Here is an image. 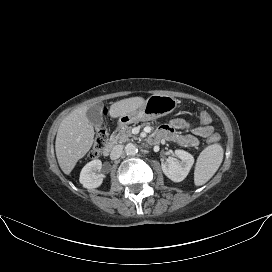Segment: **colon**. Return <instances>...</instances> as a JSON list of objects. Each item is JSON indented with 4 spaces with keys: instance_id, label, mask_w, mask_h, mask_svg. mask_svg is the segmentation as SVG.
<instances>
[{
    "instance_id": "colon-1",
    "label": "colon",
    "mask_w": 272,
    "mask_h": 272,
    "mask_svg": "<svg viewBox=\"0 0 272 272\" xmlns=\"http://www.w3.org/2000/svg\"><path fill=\"white\" fill-rule=\"evenodd\" d=\"M199 120L203 125H209V123L211 122L210 115L206 112H201L199 114ZM107 140H108V132L104 126H100L96 130L95 141H94V145L91 149L90 156L91 157L99 156L102 149L104 148ZM218 140H219V136L217 134L212 135L208 139V141L210 143L217 142Z\"/></svg>"
}]
</instances>
